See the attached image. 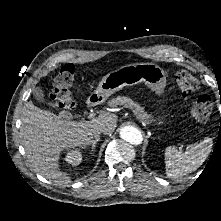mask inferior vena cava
<instances>
[{
    "label": "inferior vena cava",
    "mask_w": 221,
    "mask_h": 221,
    "mask_svg": "<svg viewBox=\"0 0 221 221\" xmlns=\"http://www.w3.org/2000/svg\"><path fill=\"white\" fill-rule=\"evenodd\" d=\"M105 129L104 128H97L93 130V137L96 138L97 136H99L100 133H105Z\"/></svg>",
    "instance_id": "1"
}]
</instances>
